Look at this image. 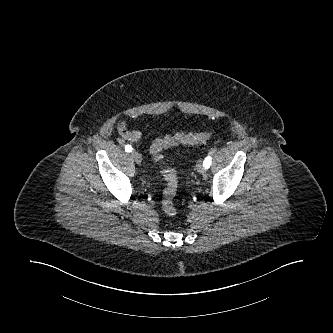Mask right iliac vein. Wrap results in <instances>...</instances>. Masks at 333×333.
I'll return each instance as SVG.
<instances>
[{
  "label": "right iliac vein",
  "instance_id": "right-iliac-vein-1",
  "mask_svg": "<svg viewBox=\"0 0 333 333\" xmlns=\"http://www.w3.org/2000/svg\"><path fill=\"white\" fill-rule=\"evenodd\" d=\"M131 157L138 164L141 163V161H142L141 155L138 152H136V151H132L131 152Z\"/></svg>",
  "mask_w": 333,
  "mask_h": 333
}]
</instances>
